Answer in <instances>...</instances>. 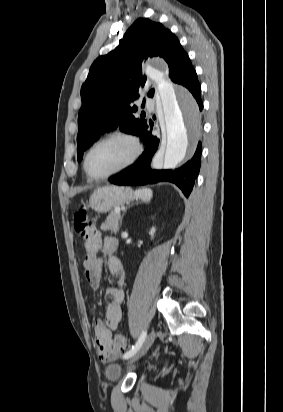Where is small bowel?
I'll return each instance as SVG.
<instances>
[{"label": "small bowel", "instance_id": "1", "mask_svg": "<svg viewBox=\"0 0 283 412\" xmlns=\"http://www.w3.org/2000/svg\"><path fill=\"white\" fill-rule=\"evenodd\" d=\"M99 248L104 257L109 273L114 280V286L107 290L110 301L106 307L104 319H96L94 322L95 342L101 349L99 356L104 361L114 360L118 352L110 349L112 341V331L116 330L122 319L121 304L123 301L124 268L121 261L113 254L117 247V241L113 237H102L97 232ZM105 261L97 255H86L84 260V273L87 281L94 290L100 287ZM105 348V351L102 349ZM108 352V355L106 353Z\"/></svg>", "mask_w": 283, "mask_h": 412}]
</instances>
